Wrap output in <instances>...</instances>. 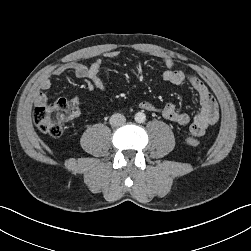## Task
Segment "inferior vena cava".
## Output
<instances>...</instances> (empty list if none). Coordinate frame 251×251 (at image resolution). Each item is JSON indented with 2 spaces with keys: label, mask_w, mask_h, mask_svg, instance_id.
Returning <instances> with one entry per match:
<instances>
[{
  "label": "inferior vena cava",
  "mask_w": 251,
  "mask_h": 251,
  "mask_svg": "<svg viewBox=\"0 0 251 251\" xmlns=\"http://www.w3.org/2000/svg\"><path fill=\"white\" fill-rule=\"evenodd\" d=\"M125 122H126V118L122 114L116 113L110 117L111 126L117 127V126L123 125Z\"/></svg>",
  "instance_id": "602c4592"
}]
</instances>
